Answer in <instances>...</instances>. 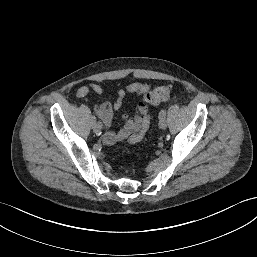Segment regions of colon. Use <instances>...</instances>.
I'll return each instance as SVG.
<instances>
[{"label":"colon","mask_w":257,"mask_h":257,"mask_svg":"<svg viewBox=\"0 0 257 257\" xmlns=\"http://www.w3.org/2000/svg\"><path fill=\"white\" fill-rule=\"evenodd\" d=\"M170 92L171 87L168 85L157 86L145 95V101L151 106H157L169 97Z\"/></svg>","instance_id":"obj_1"}]
</instances>
